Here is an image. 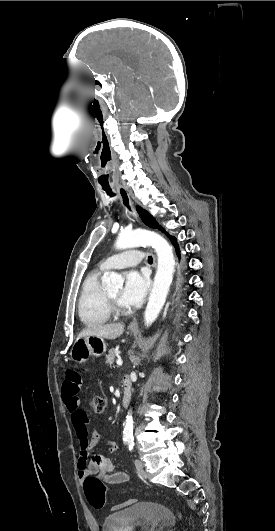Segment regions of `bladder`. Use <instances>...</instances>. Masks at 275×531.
Masks as SVG:
<instances>
[{
  "label": "bladder",
  "mask_w": 275,
  "mask_h": 531,
  "mask_svg": "<svg viewBox=\"0 0 275 531\" xmlns=\"http://www.w3.org/2000/svg\"><path fill=\"white\" fill-rule=\"evenodd\" d=\"M173 523V513L166 504L138 502L106 515L102 531H171Z\"/></svg>",
  "instance_id": "bladder-1"
}]
</instances>
